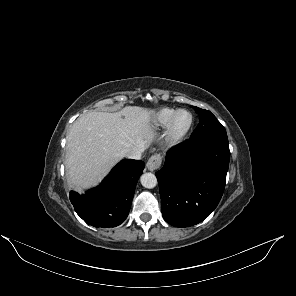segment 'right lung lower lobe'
Instances as JSON below:
<instances>
[{
    "mask_svg": "<svg viewBox=\"0 0 296 296\" xmlns=\"http://www.w3.org/2000/svg\"><path fill=\"white\" fill-rule=\"evenodd\" d=\"M143 169V161L125 159L112 169L98 187L83 195L71 191L70 200L76 213L94 227L120 225L128 216Z\"/></svg>",
    "mask_w": 296,
    "mask_h": 296,
    "instance_id": "right-lung-lower-lobe-1",
    "label": "right lung lower lobe"
}]
</instances>
